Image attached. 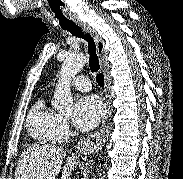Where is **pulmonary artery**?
Here are the masks:
<instances>
[{"label":"pulmonary artery","mask_w":183,"mask_h":179,"mask_svg":"<svg viewBox=\"0 0 183 179\" xmlns=\"http://www.w3.org/2000/svg\"><path fill=\"white\" fill-rule=\"evenodd\" d=\"M72 86L80 91H89L91 89V83L87 76L85 75H78L75 77L72 82Z\"/></svg>","instance_id":"1"}]
</instances>
